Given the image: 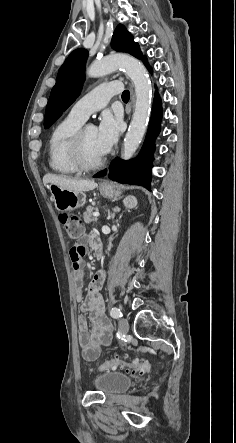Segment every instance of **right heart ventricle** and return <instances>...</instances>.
Returning <instances> with one entry per match:
<instances>
[{
	"mask_svg": "<svg viewBox=\"0 0 236 443\" xmlns=\"http://www.w3.org/2000/svg\"><path fill=\"white\" fill-rule=\"evenodd\" d=\"M83 121L68 115L52 131L48 142L50 168L60 174L71 175L79 172L69 156V144Z\"/></svg>",
	"mask_w": 236,
	"mask_h": 443,
	"instance_id": "1",
	"label": "right heart ventricle"
}]
</instances>
